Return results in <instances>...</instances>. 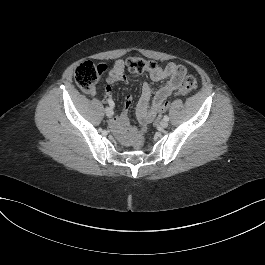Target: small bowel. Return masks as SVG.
I'll return each instance as SVG.
<instances>
[{"instance_id": "small-bowel-1", "label": "small bowel", "mask_w": 265, "mask_h": 265, "mask_svg": "<svg viewBox=\"0 0 265 265\" xmlns=\"http://www.w3.org/2000/svg\"><path fill=\"white\" fill-rule=\"evenodd\" d=\"M125 62L123 60H117L113 66L109 69L105 64H99V73L103 74L108 72L107 83L108 85L104 89L105 100L110 105L113 104V91L111 85L117 81H127L125 75ZM186 73V69L176 63H168L165 66H157L150 72V78L154 82H160L167 80L164 85L154 94L152 98V87L149 83L144 82L141 88V94L137 105V112L142 122H147L148 116L155 111L172 93L178 89L183 77ZM92 96L97 94L96 90L90 91ZM152 99L151 109L149 110V104ZM132 98L127 96L124 101V109L120 117H113L109 120L110 126L115 130H121L128 124V110L131 107Z\"/></svg>"}]
</instances>
